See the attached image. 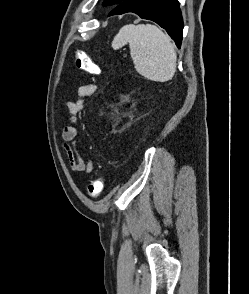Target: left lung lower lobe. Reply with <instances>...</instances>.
<instances>
[{"label": "left lung lower lobe", "mask_w": 249, "mask_h": 294, "mask_svg": "<svg viewBox=\"0 0 249 294\" xmlns=\"http://www.w3.org/2000/svg\"><path fill=\"white\" fill-rule=\"evenodd\" d=\"M127 12H134L141 18L159 24L180 48L183 20L177 0H124L109 13V16Z\"/></svg>", "instance_id": "obj_1"}]
</instances>
